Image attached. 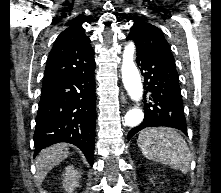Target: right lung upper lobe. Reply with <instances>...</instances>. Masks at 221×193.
I'll return each mask as SVG.
<instances>
[{
	"label": "right lung upper lobe",
	"instance_id": "obj_1",
	"mask_svg": "<svg viewBox=\"0 0 221 193\" xmlns=\"http://www.w3.org/2000/svg\"><path fill=\"white\" fill-rule=\"evenodd\" d=\"M57 37L49 53L43 82L82 71L94 61V50L85 35L82 21L77 18Z\"/></svg>",
	"mask_w": 221,
	"mask_h": 193
}]
</instances>
